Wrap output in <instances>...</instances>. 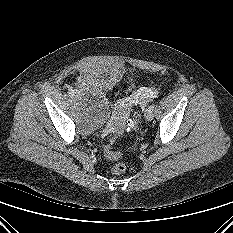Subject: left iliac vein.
<instances>
[{
  "label": "left iliac vein",
  "instance_id": "left-iliac-vein-1",
  "mask_svg": "<svg viewBox=\"0 0 233 233\" xmlns=\"http://www.w3.org/2000/svg\"><path fill=\"white\" fill-rule=\"evenodd\" d=\"M145 118L148 120V121H151L153 118H154V111L153 109H150L148 108L146 111H145Z\"/></svg>",
  "mask_w": 233,
  "mask_h": 233
}]
</instances>
